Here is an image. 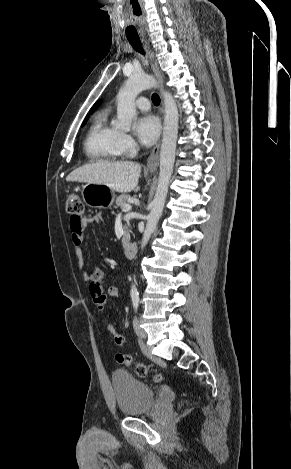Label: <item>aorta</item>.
Segmentation results:
<instances>
[{
	"label": "aorta",
	"instance_id": "762f6f07",
	"mask_svg": "<svg viewBox=\"0 0 291 469\" xmlns=\"http://www.w3.org/2000/svg\"><path fill=\"white\" fill-rule=\"evenodd\" d=\"M157 86V81L149 75L141 74L129 77L117 95V119L114 122V126L120 130L129 131L132 121L136 116L135 99L137 95L145 89ZM163 96L165 117L160 150V173L152 208L147 217V224L142 237V249L147 245L162 215L175 162L179 120L178 108L174 98L169 92L164 91ZM135 284L136 282L131 286V294L137 293Z\"/></svg>",
	"mask_w": 291,
	"mask_h": 469
}]
</instances>
